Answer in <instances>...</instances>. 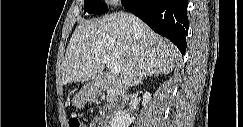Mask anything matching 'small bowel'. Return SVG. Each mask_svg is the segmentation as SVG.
Here are the masks:
<instances>
[{
	"label": "small bowel",
	"instance_id": "c3829d8e",
	"mask_svg": "<svg viewBox=\"0 0 243 127\" xmlns=\"http://www.w3.org/2000/svg\"><path fill=\"white\" fill-rule=\"evenodd\" d=\"M90 127H106L104 124L101 123L100 119H94L91 121Z\"/></svg>",
	"mask_w": 243,
	"mask_h": 127
}]
</instances>
